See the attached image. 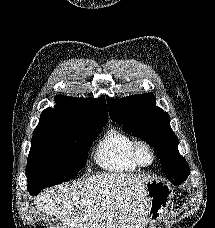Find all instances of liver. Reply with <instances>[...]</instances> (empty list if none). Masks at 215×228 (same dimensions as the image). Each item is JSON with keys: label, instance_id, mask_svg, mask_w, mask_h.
<instances>
[{"label": "liver", "instance_id": "1", "mask_svg": "<svg viewBox=\"0 0 215 228\" xmlns=\"http://www.w3.org/2000/svg\"><path fill=\"white\" fill-rule=\"evenodd\" d=\"M152 180L141 174H97L47 188L33 202L63 228H145V192Z\"/></svg>", "mask_w": 215, "mask_h": 228}]
</instances>
